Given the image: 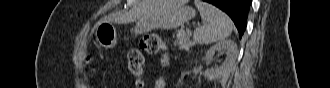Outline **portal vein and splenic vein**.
Wrapping results in <instances>:
<instances>
[{
	"mask_svg": "<svg viewBox=\"0 0 330 88\" xmlns=\"http://www.w3.org/2000/svg\"><path fill=\"white\" fill-rule=\"evenodd\" d=\"M187 32L191 34V32L189 30Z\"/></svg>",
	"mask_w": 330,
	"mask_h": 88,
	"instance_id": "obj_1",
	"label": "portal vein and splenic vein"
}]
</instances>
